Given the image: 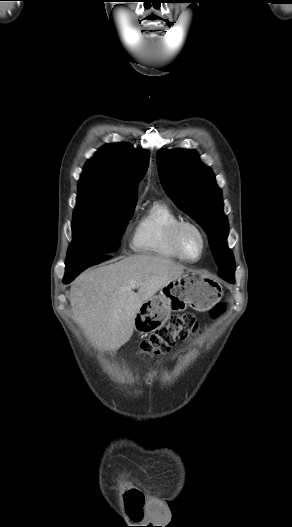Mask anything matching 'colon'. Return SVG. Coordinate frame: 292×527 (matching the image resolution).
Wrapping results in <instances>:
<instances>
[{
	"instance_id": "5ec220e1",
	"label": "colon",
	"mask_w": 292,
	"mask_h": 527,
	"mask_svg": "<svg viewBox=\"0 0 292 527\" xmlns=\"http://www.w3.org/2000/svg\"><path fill=\"white\" fill-rule=\"evenodd\" d=\"M224 310V304L219 303L211 309L210 315L212 318H217L224 312ZM198 330L199 326L194 315L185 313L172 316L166 325L160 327L141 342L140 351L150 356L164 354L168 352L177 341H189ZM126 495L133 505L134 512L139 513L142 508L141 495L133 488H129Z\"/></svg>"
}]
</instances>
